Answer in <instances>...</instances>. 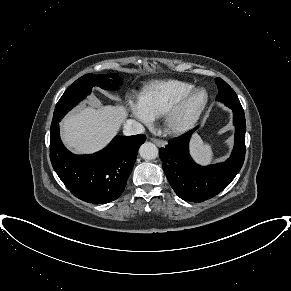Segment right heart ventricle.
<instances>
[{
	"label": "right heart ventricle",
	"mask_w": 291,
	"mask_h": 291,
	"mask_svg": "<svg viewBox=\"0 0 291 291\" xmlns=\"http://www.w3.org/2000/svg\"><path fill=\"white\" fill-rule=\"evenodd\" d=\"M193 88V84L181 80L156 81L140 94L138 104L150 119L159 118Z\"/></svg>",
	"instance_id": "e07e8e85"
}]
</instances>
